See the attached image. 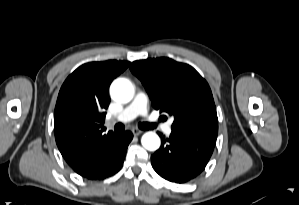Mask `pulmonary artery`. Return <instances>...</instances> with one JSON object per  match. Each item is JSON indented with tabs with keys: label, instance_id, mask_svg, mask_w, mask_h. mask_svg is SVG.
<instances>
[{
	"label": "pulmonary artery",
	"instance_id": "1",
	"mask_svg": "<svg viewBox=\"0 0 299 205\" xmlns=\"http://www.w3.org/2000/svg\"><path fill=\"white\" fill-rule=\"evenodd\" d=\"M148 98L143 92L136 94L133 101L116 117L119 122H129L135 119L137 116H147L148 114ZM172 122H168L163 126V130L166 134L170 135Z\"/></svg>",
	"mask_w": 299,
	"mask_h": 205
}]
</instances>
